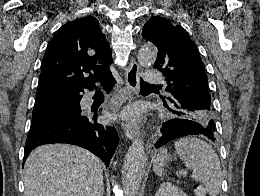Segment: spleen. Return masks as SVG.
Returning a JSON list of instances; mask_svg holds the SVG:
<instances>
[{"label":"spleen","instance_id":"1","mask_svg":"<svg viewBox=\"0 0 260 196\" xmlns=\"http://www.w3.org/2000/svg\"><path fill=\"white\" fill-rule=\"evenodd\" d=\"M175 152L189 170H193L191 178L204 184L209 196H218L222 182L220 160L212 146L199 138H180L174 144ZM168 158L166 148L160 150L153 164L157 176H163Z\"/></svg>","mask_w":260,"mask_h":196}]
</instances>
